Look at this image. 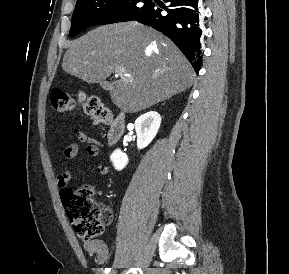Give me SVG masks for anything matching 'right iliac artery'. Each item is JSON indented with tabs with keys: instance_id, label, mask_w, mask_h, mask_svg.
<instances>
[{
	"instance_id": "right-iliac-artery-1",
	"label": "right iliac artery",
	"mask_w": 289,
	"mask_h": 274,
	"mask_svg": "<svg viewBox=\"0 0 289 274\" xmlns=\"http://www.w3.org/2000/svg\"><path fill=\"white\" fill-rule=\"evenodd\" d=\"M110 271H111V268H105L104 274H109Z\"/></svg>"
}]
</instances>
